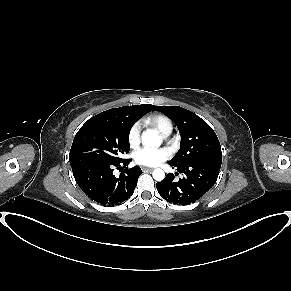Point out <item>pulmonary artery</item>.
I'll use <instances>...</instances> for the list:
<instances>
[{"mask_svg": "<svg viewBox=\"0 0 291 291\" xmlns=\"http://www.w3.org/2000/svg\"><path fill=\"white\" fill-rule=\"evenodd\" d=\"M169 135V133L168 134H166V135H164V136H168Z\"/></svg>", "mask_w": 291, "mask_h": 291, "instance_id": "pulmonary-artery-1", "label": "pulmonary artery"}]
</instances>
